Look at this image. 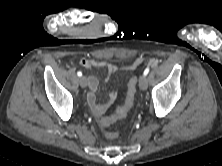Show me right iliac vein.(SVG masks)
<instances>
[{"label": "right iliac vein", "instance_id": "1", "mask_svg": "<svg viewBox=\"0 0 222 166\" xmlns=\"http://www.w3.org/2000/svg\"><path fill=\"white\" fill-rule=\"evenodd\" d=\"M80 86L85 88L87 86V78L85 76H81L79 79Z\"/></svg>", "mask_w": 222, "mask_h": 166}]
</instances>
